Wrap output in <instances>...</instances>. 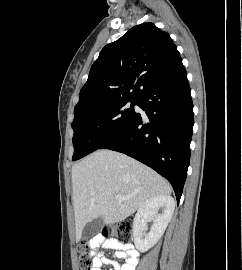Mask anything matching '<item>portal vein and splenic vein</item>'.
Wrapping results in <instances>:
<instances>
[{"instance_id": "portal-vein-and-splenic-vein-1", "label": "portal vein and splenic vein", "mask_w": 242, "mask_h": 270, "mask_svg": "<svg viewBox=\"0 0 242 270\" xmlns=\"http://www.w3.org/2000/svg\"><path fill=\"white\" fill-rule=\"evenodd\" d=\"M116 200H125V197H122L121 195H115Z\"/></svg>"}]
</instances>
